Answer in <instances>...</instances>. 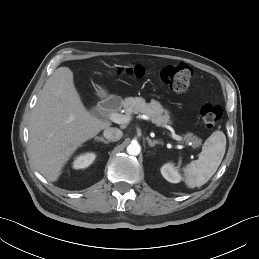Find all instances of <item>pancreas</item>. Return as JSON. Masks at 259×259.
I'll list each match as a JSON object with an SVG mask.
<instances>
[{"instance_id": "pancreas-1", "label": "pancreas", "mask_w": 259, "mask_h": 259, "mask_svg": "<svg viewBox=\"0 0 259 259\" xmlns=\"http://www.w3.org/2000/svg\"><path fill=\"white\" fill-rule=\"evenodd\" d=\"M121 105L126 114H145L156 125H162L169 122L168 113L165 112L161 104L155 100H152L150 103H146L142 97H127L121 101ZM185 139L187 141H192L193 147H198L202 143V140L194 136L192 133H188L185 136Z\"/></svg>"}]
</instances>
